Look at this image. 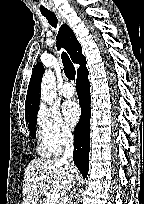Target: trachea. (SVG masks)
Segmentation results:
<instances>
[{"label":"trachea","mask_w":144,"mask_h":204,"mask_svg":"<svg viewBox=\"0 0 144 204\" xmlns=\"http://www.w3.org/2000/svg\"><path fill=\"white\" fill-rule=\"evenodd\" d=\"M42 15L44 17H46V19L48 20L49 24L52 27L57 26L58 20H57V17L54 13L48 12V13H42ZM61 58H62L63 66H64L63 69H64L65 75L67 76L68 79L74 80L76 71H75L73 63L71 62L70 58L68 57V55L65 52L62 53Z\"/></svg>","instance_id":"1"}]
</instances>
